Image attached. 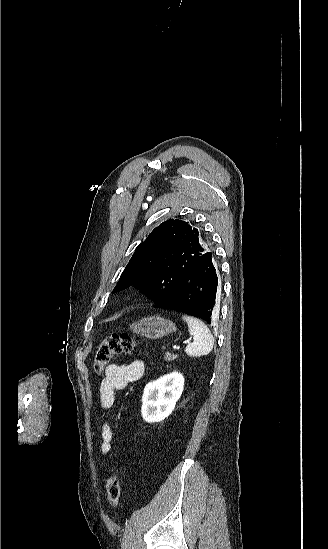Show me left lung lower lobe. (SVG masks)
I'll use <instances>...</instances> for the list:
<instances>
[{
  "label": "left lung lower lobe",
  "mask_w": 328,
  "mask_h": 549,
  "mask_svg": "<svg viewBox=\"0 0 328 549\" xmlns=\"http://www.w3.org/2000/svg\"><path fill=\"white\" fill-rule=\"evenodd\" d=\"M218 292L212 253L207 252L180 278L170 295L154 302V307L181 312L211 324L216 316Z\"/></svg>",
  "instance_id": "left-lung-lower-lobe-1"
}]
</instances>
